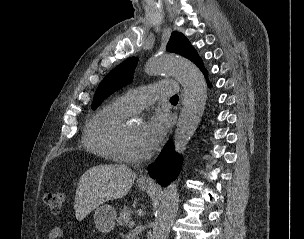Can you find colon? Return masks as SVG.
Instances as JSON below:
<instances>
[{"label":"colon","mask_w":304,"mask_h":239,"mask_svg":"<svg viewBox=\"0 0 304 239\" xmlns=\"http://www.w3.org/2000/svg\"><path fill=\"white\" fill-rule=\"evenodd\" d=\"M43 200L52 213L58 214L64 207L66 194L63 191L48 192L44 194Z\"/></svg>","instance_id":"colon-1"}]
</instances>
